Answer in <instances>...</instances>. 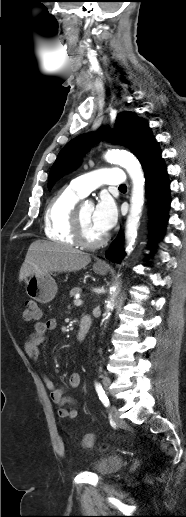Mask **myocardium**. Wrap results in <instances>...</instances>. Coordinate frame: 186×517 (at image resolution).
Segmentation results:
<instances>
[{"label": "myocardium", "instance_id": "f54148a6", "mask_svg": "<svg viewBox=\"0 0 186 517\" xmlns=\"http://www.w3.org/2000/svg\"><path fill=\"white\" fill-rule=\"evenodd\" d=\"M73 234L74 238L77 244L86 247V248H97L103 245L106 240L107 236L103 235L97 239L91 240L87 238L84 234L82 220H81V214H80V208H75L74 215H73Z\"/></svg>", "mask_w": 186, "mask_h": 517}]
</instances>
